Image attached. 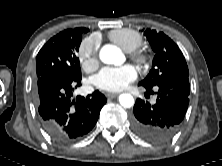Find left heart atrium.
Listing matches in <instances>:
<instances>
[{
  "instance_id": "left-heart-atrium-1",
  "label": "left heart atrium",
  "mask_w": 222,
  "mask_h": 166,
  "mask_svg": "<svg viewBox=\"0 0 222 166\" xmlns=\"http://www.w3.org/2000/svg\"><path fill=\"white\" fill-rule=\"evenodd\" d=\"M137 76V71L132 65L104 67L93 77L92 82L101 90L118 92L125 89Z\"/></svg>"
}]
</instances>
